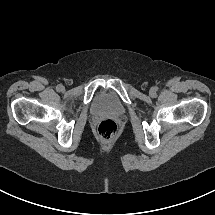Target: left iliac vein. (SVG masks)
I'll return each mask as SVG.
<instances>
[{"label": "left iliac vein", "instance_id": "left-iliac-vein-1", "mask_svg": "<svg viewBox=\"0 0 215 215\" xmlns=\"http://www.w3.org/2000/svg\"><path fill=\"white\" fill-rule=\"evenodd\" d=\"M150 95L152 97H155L156 96V89L155 88H151L150 91H149Z\"/></svg>", "mask_w": 215, "mask_h": 215}]
</instances>
